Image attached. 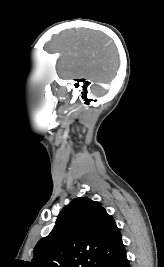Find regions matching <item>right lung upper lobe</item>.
I'll return each instance as SVG.
<instances>
[{
  "instance_id": "cb5924a9",
  "label": "right lung upper lobe",
  "mask_w": 164,
  "mask_h": 267,
  "mask_svg": "<svg viewBox=\"0 0 164 267\" xmlns=\"http://www.w3.org/2000/svg\"><path fill=\"white\" fill-rule=\"evenodd\" d=\"M124 248L114 219L99 202L73 199L58 215L51 233L34 248L30 267H96Z\"/></svg>"
}]
</instances>
